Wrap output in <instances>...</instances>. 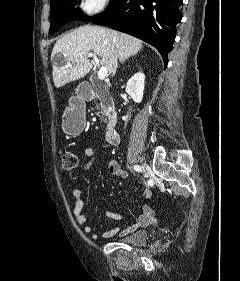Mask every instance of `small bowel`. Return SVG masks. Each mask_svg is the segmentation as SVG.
Listing matches in <instances>:
<instances>
[{"mask_svg":"<svg viewBox=\"0 0 240 281\" xmlns=\"http://www.w3.org/2000/svg\"><path fill=\"white\" fill-rule=\"evenodd\" d=\"M83 157L87 159L88 161L84 164L83 169L85 171L89 170L94 163L97 162L98 157L96 155V152L93 148H87L83 152ZM106 169L107 171L117 177H121L123 179L128 180V173L121 168V166L115 162V161H109L106 163ZM129 191L127 190L126 193ZM72 197L74 200V208H73V215L75 218V221L77 224L82 227L83 231L87 234L93 233V227L88 224V218L84 214L83 209H84V202L82 200V195L81 191L77 187H73L71 189ZM141 196L144 199H149L151 197V193L148 190H144L141 192ZM107 216L115 219V220H121L122 215L117 214L112 211L107 212ZM154 218V210L151 206L149 205H144L141 209V214L137 218V220L128 226L125 230H123L120 234L122 236L127 235L129 233H132L136 231L137 229L141 227L148 226ZM118 232V229H113L104 233H93V238L95 240L101 239V238H107L115 235Z\"/></svg>","mask_w":240,"mask_h":281,"instance_id":"1","label":"small bowel"}]
</instances>
